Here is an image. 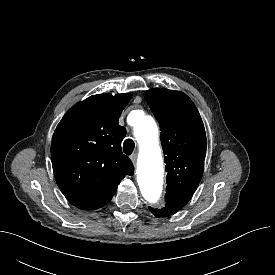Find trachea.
<instances>
[{
	"instance_id": "obj_1",
	"label": "trachea",
	"mask_w": 275,
	"mask_h": 275,
	"mask_svg": "<svg viewBox=\"0 0 275 275\" xmlns=\"http://www.w3.org/2000/svg\"><path fill=\"white\" fill-rule=\"evenodd\" d=\"M135 147V143L132 139H126L123 144V151L126 155H130Z\"/></svg>"
}]
</instances>
